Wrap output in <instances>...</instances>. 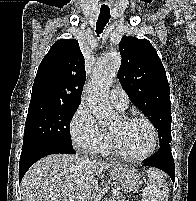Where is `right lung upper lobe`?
I'll use <instances>...</instances> for the list:
<instances>
[{
  "label": "right lung upper lobe",
  "instance_id": "1",
  "mask_svg": "<svg viewBox=\"0 0 196 201\" xmlns=\"http://www.w3.org/2000/svg\"><path fill=\"white\" fill-rule=\"evenodd\" d=\"M85 80L84 57L78 41L60 39L39 65L30 102L80 104Z\"/></svg>",
  "mask_w": 196,
  "mask_h": 201
}]
</instances>
